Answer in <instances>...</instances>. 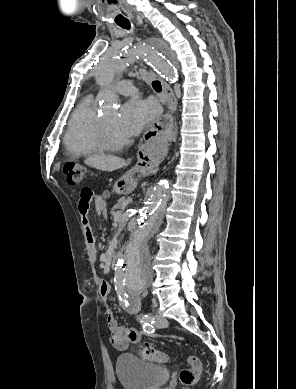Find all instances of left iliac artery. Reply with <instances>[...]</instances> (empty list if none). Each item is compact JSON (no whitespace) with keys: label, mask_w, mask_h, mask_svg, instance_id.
<instances>
[{"label":"left iliac artery","mask_w":296,"mask_h":389,"mask_svg":"<svg viewBox=\"0 0 296 389\" xmlns=\"http://www.w3.org/2000/svg\"><path fill=\"white\" fill-rule=\"evenodd\" d=\"M132 312H138V309H132ZM141 319V323L143 324V329L145 332L147 333H153L154 332V328H153V323L155 322L154 321V317H152L151 315H148V314H145V315H142L140 317Z\"/></svg>","instance_id":"obj_1"}]
</instances>
